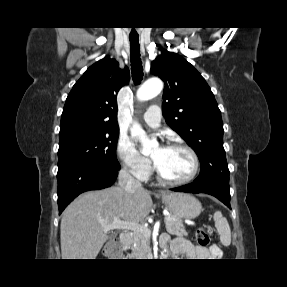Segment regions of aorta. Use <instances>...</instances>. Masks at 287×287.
<instances>
[{"label": "aorta", "instance_id": "762f6f07", "mask_svg": "<svg viewBox=\"0 0 287 287\" xmlns=\"http://www.w3.org/2000/svg\"><path fill=\"white\" fill-rule=\"evenodd\" d=\"M162 89L163 83L159 79H150L137 90L136 96L139 101H147L156 97ZM131 135L139 139L143 154L150 153L151 150L157 146V142L150 140L139 124L132 126Z\"/></svg>", "mask_w": 287, "mask_h": 287}]
</instances>
